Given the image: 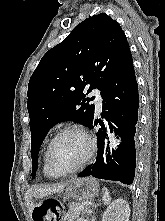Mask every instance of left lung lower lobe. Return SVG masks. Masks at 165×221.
<instances>
[{"mask_svg":"<svg viewBox=\"0 0 165 221\" xmlns=\"http://www.w3.org/2000/svg\"><path fill=\"white\" fill-rule=\"evenodd\" d=\"M101 96L104 100L102 106L104 120H92L88 125L90 128L98 123L101 126L97 132L99 149L96 162L93 167L86 168L78 176L92 175L129 185L132 184L135 175L134 137L139 108L138 86L131 55L103 88ZM113 133L122 137V143L116 150H112L111 155L108 148Z\"/></svg>","mask_w":165,"mask_h":221,"instance_id":"left-lung-lower-lobe-1","label":"left lung lower lobe"}]
</instances>
